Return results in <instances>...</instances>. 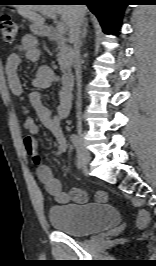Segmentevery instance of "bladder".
<instances>
[{"label": "bladder", "mask_w": 156, "mask_h": 266, "mask_svg": "<svg viewBox=\"0 0 156 266\" xmlns=\"http://www.w3.org/2000/svg\"><path fill=\"white\" fill-rule=\"evenodd\" d=\"M51 225L72 236H85L117 225L118 211L109 204L54 205L48 211Z\"/></svg>", "instance_id": "1"}]
</instances>
